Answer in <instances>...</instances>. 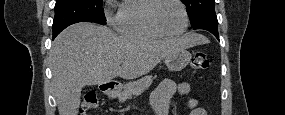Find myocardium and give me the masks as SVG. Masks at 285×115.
Returning <instances> with one entry per match:
<instances>
[{"mask_svg":"<svg viewBox=\"0 0 285 115\" xmlns=\"http://www.w3.org/2000/svg\"><path fill=\"white\" fill-rule=\"evenodd\" d=\"M163 1H168V0H154L153 4L151 5L149 12H148V21H149L150 25L152 26L153 29H155L157 32H159L163 36H166V37L181 36L182 34H184L187 31V29L189 27V14H188V11H187L185 4L181 0H172V1L176 2L182 9V12L184 15V26L178 32H168V31L164 30L158 24V22L156 21V18H155L156 10H157L159 4Z\"/></svg>","mask_w":285,"mask_h":115,"instance_id":"f54148a6","label":"myocardium"}]
</instances>
